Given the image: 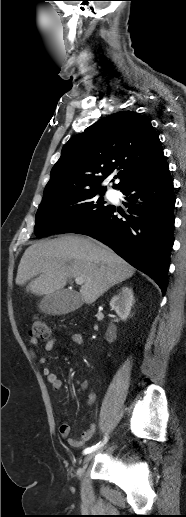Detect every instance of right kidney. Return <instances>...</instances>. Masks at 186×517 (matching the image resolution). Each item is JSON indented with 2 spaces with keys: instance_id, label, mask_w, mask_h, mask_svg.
I'll list each match as a JSON object with an SVG mask.
<instances>
[{
  "instance_id": "ca27d5eb",
  "label": "right kidney",
  "mask_w": 186,
  "mask_h": 517,
  "mask_svg": "<svg viewBox=\"0 0 186 517\" xmlns=\"http://www.w3.org/2000/svg\"><path fill=\"white\" fill-rule=\"evenodd\" d=\"M134 304L133 290L130 287H122L117 295L110 301L111 308L121 320L126 321Z\"/></svg>"
}]
</instances>
